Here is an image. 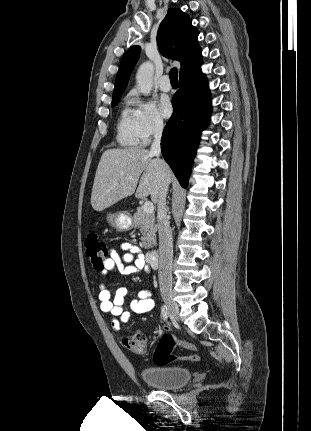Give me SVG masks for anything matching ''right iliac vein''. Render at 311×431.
<instances>
[{"label":"right iliac vein","instance_id":"right-iliac-vein-1","mask_svg":"<svg viewBox=\"0 0 311 431\" xmlns=\"http://www.w3.org/2000/svg\"><path fill=\"white\" fill-rule=\"evenodd\" d=\"M162 298H163L170 314L172 315V317L176 321H178L179 320V307H178L177 303L173 300L172 294L170 292H163Z\"/></svg>","mask_w":311,"mask_h":431}]
</instances>
